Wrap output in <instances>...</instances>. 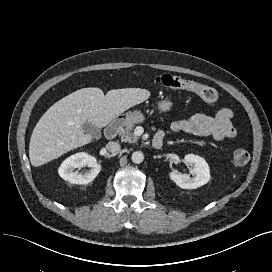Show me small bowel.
<instances>
[{
  "label": "small bowel",
  "instance_id": "small-bowel-1",
  "mask_svg": "<svg viewBox=\"0 0 272 272\" xmlns=\"http://www.w3.org/2000/svg\"><path fill=\"white\" fill-rule=\"evenodd\" d=\"M233 113L228 108L221 109L216 116L196 114L186 119L172 122L173 132L184 133L196 137H212L217 141L234 138L236 130L232 125ZM155 136L164 138L165 132L160 130Z\"/></svg>",
  "mask_w": 272,
  "mask_h": 272
}]
</instances>
